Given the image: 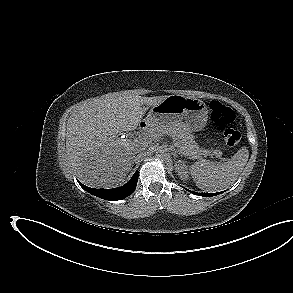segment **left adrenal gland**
<instances>
[{
	"instance_id": "1",
	"label": "left adrenal gland",
	"mask_w": 293,
	"mask_h": 293,
	"mask_svg": "<svg viewBox=\"0 0 293 293\" xmlns=\"http://www.w3.org/2000/svg\"><path fill=\"white\" fill-rule=\"evenodd\" d=\"M172 154L174 157H177V154H180V152H179V150H177L176 148L173 147Z\"/></svg>"
}]
</instances>
